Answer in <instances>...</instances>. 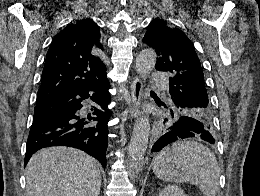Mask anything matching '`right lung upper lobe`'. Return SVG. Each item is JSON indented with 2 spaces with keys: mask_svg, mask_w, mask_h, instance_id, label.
<instances>
[{
  "mask_svg": "<svg viewBox=\"0 0 260 196\" xmlns=\"http://www.w3.org/2000/svg\"><path fill=\"white\" fill-rule=\"evenodd\" d=\"M99 26L82 19L66 26L46 55L37 105L107 78Z\"/></svg>",
  "mask_w": 260,
  "mask_h": 196,
  "instance_id": "obj_1",
  "label": "right lung upper lobe"
}]
</instances>
